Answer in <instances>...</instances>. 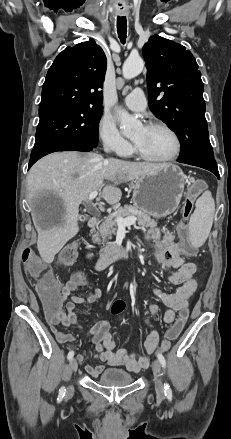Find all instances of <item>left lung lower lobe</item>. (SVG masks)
I'll return each mask as SVG.
<instances>
[{
  "instance_id": "left-lung-lower-lobe-1",
  "label": "left lung lower lobe",
  "mask_w": 231,
  "mask_h": 439,
  "mask_svg": "<svg viewBox=\"0 0 231 439\" xmlns=\"http://www.w3.org/2000/svg\"><path fill=\"white\" fill-rule=\"evenodd\" d=\"M178 162L204 168L215 174L218 179L220 178L217 165H212L210 163L203 162L200 160H186V161L178 160Z\"/></svg>"
}]
</instances>
